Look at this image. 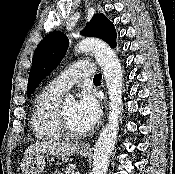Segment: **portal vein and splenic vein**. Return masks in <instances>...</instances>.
<instances>
[{
    "label": "portal vein and splenic vein",
    "instance_id": "18ae733b",
    "mask_svg": "<svg viewBox=\"0 0 175 174\" xmlns=\"http://www.w3.org/2000/svg\"><path fill=\"white\" fill-rule=\"evenodd\" d=\"M75 174H80L79 172H76Z\"/></svg>",
    "mask_w": 175,
    "mask_h": 174
}]
</instances>
